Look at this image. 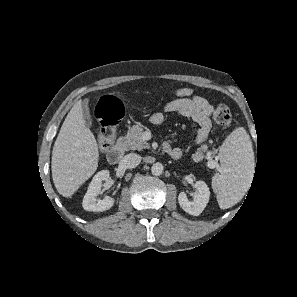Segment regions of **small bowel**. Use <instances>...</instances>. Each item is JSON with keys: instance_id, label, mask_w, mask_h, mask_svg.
<instances>
[{"instance_id": "c3829d8e", "label": "small bowel", "mask_w": 297, "mask_h": 297, "mask_svg": "<svg viewBox=\"0 0 297 297\" xmlns=\"http://www.w3.org/2000/svg\"><path fill=\"white\" fill-rule=\"evenodd\" d=\"M163 110L190 118L198 124L199 128L194 138L196 146L206 140L212 126L210 115L213 111V105L206 98L198 95H193L190 98H177L168 102ZM150 121L154 125H161L164 122V114L162 112L154 113L150 117ZM164 147L172 158L178 159L182 156V148L172 147L168 143H165Z\"/></svg>"}]
</instances>
